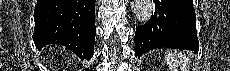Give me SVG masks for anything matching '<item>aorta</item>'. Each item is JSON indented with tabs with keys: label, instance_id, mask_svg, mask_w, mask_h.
Listing matches in <instances>:
<instances>
[{
	"label": "aorta",
	"instance_id": "762f6f07",
	"mask_svg": "<svg viewBox=\"0 0 230 71\" xmlns=\"http://www.w3.org/2000/svg\"><path fill=\"white\" fill-rule=\"evenodd\" d=\"M153 11L152 0H135L134 12L140 23H147L151 19Z\"/></svg>",
	"mask_w": 230,
	"mask_h": 71
}]
</instances>
